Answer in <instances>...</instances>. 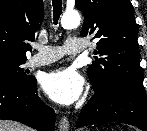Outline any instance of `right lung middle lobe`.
<instances>
[{
    "mask_svg": "<svg viewBox=\"0 0 147 131\" xmlns=\"http://www.w3.org/2000/svg\"><path fill=\"white\" fill-rule=\"evenodd\" d=\"M25 59H17L0 56V83L20 84L31 81L32 77L26 76V70L22 67Z\"/></svg>",
    "mask_w": 147,
    "mask_h": 131,
    "instance_id": "obj_1",
    "label": "right lung middle lobe"
}]
</instances>
